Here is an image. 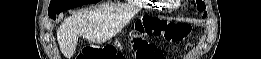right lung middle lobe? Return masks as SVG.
Returning <instances> with one entry per match:
<instances>
[{
  "label": "right lung middle lobe",
  "instance_id": "1",
  "mask_svg": "<svg viewBox=\"0 0 261 59\" xmlns=\"http://www.w3.org/2000/svg\"><path fill=\"white\" fill-rule=\"evenodd\" d=\"M97 2H99V0H51L48 15L52 18L63 10Z\"/></svg>",
  "mask_w": 261,
  "mask_h": 59
}]
</instances>
